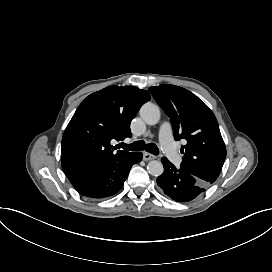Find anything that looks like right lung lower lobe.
I'll list each match as a JSON object with an SVG mask.
<instances>
[{
    "label": "right lung lower lobe",
    "instance_id": "1",
    "mask_svg": "<svg viewBox=\"0 0 272 272\" xmlns=\"http://www.w3.org/2000/svg\"><path fill=\"white\" fill-rule=\"evenodd\" d=\"M141 160L142 153L132 152L106 166L75 175L69 180L82 196L107 198L122 188L131 167Z\"/></svg>",
    "mask_w": 272,
    "mask_h": 272
}]
</instances>
